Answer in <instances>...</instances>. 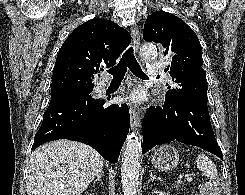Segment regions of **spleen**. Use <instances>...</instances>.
I'll return each mask as SVG.
<instances>
[{
  "label": "spleen",
  "instance_id": "1",
  "mask_svg": "<svg viewBox=\"0 0 245 195\" xmlns=\"http://www.w3.org/2000/svg\"><path fill=\"white\" fill-rule=\"evenodd\" d=\"M197 167L202 171L208 178L216 179L218 171L215 164L204 154H199L196 160Z\"/></svg>",
  "mask_w": 245,
  "mask_h": 195
}]
</instances>
